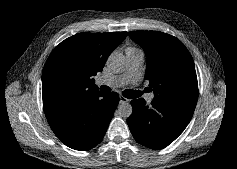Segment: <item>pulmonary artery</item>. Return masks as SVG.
<instances>
[{
  "mask_svg": "<svg viewBox=\"0 0 237 169\" xmlns=\"http://www.w3.org/2000/svg\"><path fill=\"white\" fill-rule=\"evenodd\" d=\"M128 55V61L130 64L131 69L136 70L140 67V65L143 62L144 55L142 52L134 53V54H127ZM119 79L117 78H106L102 81L103 84H106L108 86H116L119 84ZM153 99V95H150L148 97V101H151Z\"/></svg>",
  "mask_w": 237,
  "mask_h": 169,
  "instance_id": "obj_1",
  "label": "pulmonary artery"
}]
</instances>
